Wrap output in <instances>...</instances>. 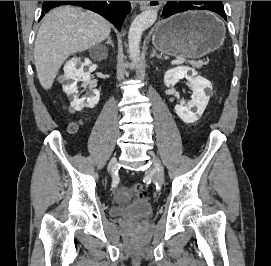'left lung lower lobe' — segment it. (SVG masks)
Segmentation results:
<instances>
[{
  "mask_svg": "<svg viewBox=\"0 0 271 266\" xmlns=\"http://www.w3.org/2000/svg\"><path fill=\"white\" fill-rule=\"evenodd\" d=\"M193 9L215 12L227 21L222 1H167L161 17L165 19L176 13Z\"/></svg>",
  "mask_w": 271,
  "mask_h": 266,
  "instance_id": "1",
  "label": "left lung lower lobe"
}]
</instances>
